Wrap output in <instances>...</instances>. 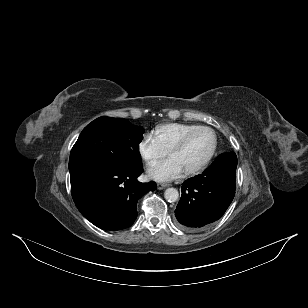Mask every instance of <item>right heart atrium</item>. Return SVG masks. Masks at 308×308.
Instances as JSON below:
<instances>
[{
  "mask_svg": "<svg viewBox=\"0 0 308 308\" xmlns=\"http://www.w3.org/2000/svg\"><path fill=\"white\" fill-rule=\"evenodd\" d=\"M137 152L147 166L155 165L167 154L151 134H145L139 140Z\"/></svg>",
  "mask_w": 308,
  "mask_h": 308,
  "instance_id": "1",
  "label": "right heart atrium"
}]
</instances>
